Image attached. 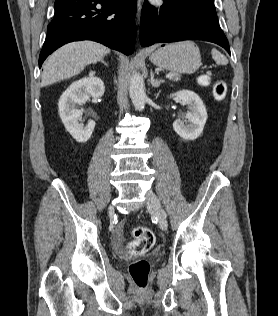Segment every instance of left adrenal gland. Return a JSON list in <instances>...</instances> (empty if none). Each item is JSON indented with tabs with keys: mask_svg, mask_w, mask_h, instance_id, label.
Masks as SVG:
<instances>
[{
	"mask_svg": "<svg viewBox=\"0 0 278 316\" xmlns=\"http://www.w3.org/2000/svg\"><path fill=\"white\" fill-rule=\"evenodd\" d=\"M150 76V82L152 87L158 88L161 85V83H164V80L155 79L154 73L152 71L150 73Z\"/></svg>",
	"mask_w": 278,
	"mask_h": 316,
	"instance_id": "1",
	"label": "left adrenal gland"
}]
</instances>
